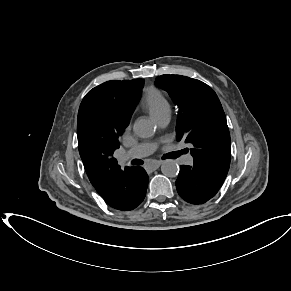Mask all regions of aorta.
<instances>
[{
	"instance_id": "aorta-1",
	"label": "aorta",
	"mask_w": 291,
	"mask_h": 291,
	"mask_svg": "<svg viewBox=\"0 0 291 291\" xmlns=\"http://www.w3.org/2000/svg\"><path fill=\"white\" fill-rule=\"evenodd\" d=\"M134 133L141 138H149L154 135L155 127L150 120L137 119L133 125ZM161 170L168 177H175L179 173V165L175 160L168 159L161 165Z\"/></svg>"
}]
</instances>
